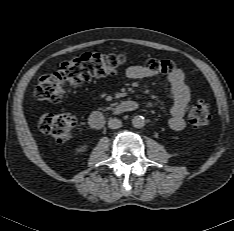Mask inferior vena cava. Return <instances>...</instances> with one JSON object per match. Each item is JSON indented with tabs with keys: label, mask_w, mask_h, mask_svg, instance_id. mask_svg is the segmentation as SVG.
I'll use <instances>...</instances> for the list:
<instances>
[{
	"label": "inferior vena cava",
	"mask_w": 234,
	"mask_h": 231,
	"mask_svg": "<svg viewBox=\"0 0 234 231\" xmlns=\"http://www.w3.org/2000/svg\"><path fill=\"white\" fill-rule=\"evenodd\" d=\"M122 126L121 120L117 118H110L108 121V127L111 129H118Z\"/></svg>",
	"instance_id": "1"
}]
</instances>
